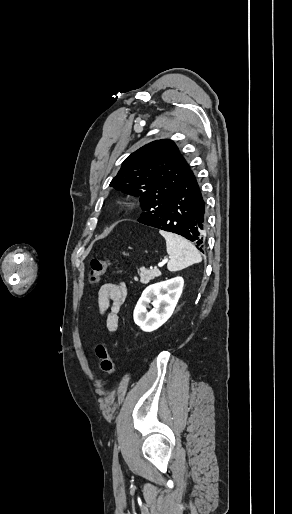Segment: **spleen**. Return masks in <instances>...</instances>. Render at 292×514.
<instances>
[{
	"mask_svg": "<svg viewBox=\"0 0 292 514\" xmlns=\"http://www.w3.org/2000/svg\"><path fill=\"white\" fill-rule=\"evenodd\" d=\"M160 234L166 240L167 254L170 258L167 264L169 272H179L192 264L202 262L197 248L191 242L177 234H171V232L160 230Z\"/></svg>",
	"mask_w": 292,
	"mask_h": 514,
	"instance_id": "1",
	"label": "spleen"
}]
</instances>
